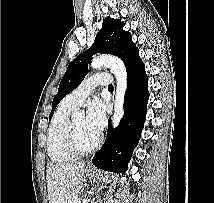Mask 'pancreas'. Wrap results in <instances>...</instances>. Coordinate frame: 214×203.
Masks as SVG:
<instances>
[{
  "label": "pancreas",
  "mask_w": 214,
  "mask_h": 203,
  "mask_svg": "<svg viewBox=\"0 0 214 203\" xmlns=\"http://www.w3.org/2000/svg\"><path fill=\"white\" fill-rule=\"evenodd\" d=\"M78 198L77 197H73L69 203H77Z\"/></svg>",
  "instance_id": "obj_1"
}]
</instances>
